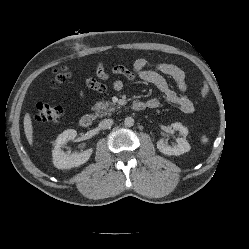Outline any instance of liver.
Masks as SVG:
<instances>
[{"label": "liver", "instance_id": "liver-1", "mask_svg": "<svg viewBox=\"0 0 249 249\" xmlns=\"http://www.w3.org/2000/svg\"><path fill=\"white\" fill-rule=\"evenodd\" d=\"M24 131L30 145L33 144V126L29 113L24 116Z\"/></svg>", "mask_w": 249, "mask_h": 249}]
</instances>
